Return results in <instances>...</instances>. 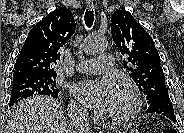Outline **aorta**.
Masks as SVG:
<instances>
[{"label":"aorta","instance_id":"1","mask_svg":"<svg viewBox=\"0 0 184 133\" xmlns=\"http://www.w3.org/2000/svg\"><path fill=\"white\" fill-rule=\"evenodd\" d=\"M108 47L107 40L104 36L95 33L90 34L81 44V49L86 55H96L104 52Z\"/></svg>","mask_w":184,"mask_h":133}]
</instances>
